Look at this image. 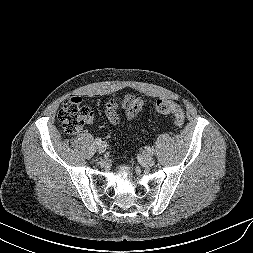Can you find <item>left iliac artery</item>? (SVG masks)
Segmentation results:
<instances>
[{"label": "left iliac artery", "mask_w": 253, "mask_h": 253, "mask_svg": "<svg viewBox=\"0 0 253 253\" xmlns=\"http://www.w3.org/2000/svg\"><path fill=\"white\" fill-rule=\"evenodd\" d=\"M147 150L152 152V154L154 153V148H152V147H148Z\"/></svg>", "instance_id": "obj_1"}]
</instances>
